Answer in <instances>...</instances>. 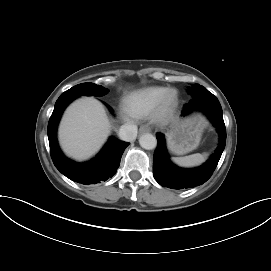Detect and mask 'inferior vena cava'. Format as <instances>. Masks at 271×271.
Masks as SVG:
<instances>
[{
  "mask_svg": "<svg viewBox=\"0 0 271 271\" xmlns=\"http://www.w3.org/2000/svg\"><path fill=\"white\" fill-rule=\"evenodd\" d=\"M118 135L123 141H133L137 137V126L132 124H124L120 127Z\"/></svg>",
  "mask_w": 271,
  "mask_h": 271,
  "instance_id": "inferior-vena-cava-1",
  "label": "inferior vena cava"
}]
</instances>
